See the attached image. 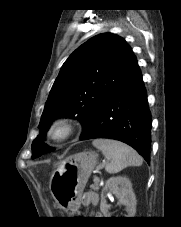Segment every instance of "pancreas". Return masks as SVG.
I'll list each match as a JSON object with an SVG mask.
<instances>
[{"label":"pancreas","instance_id":"obj_1","mask_svg":"<svg viewBox=\"0 0 181 227\" xmlns=\"http://www.w3.org/2000/svg\"><path fill=\"white\" fill-rule=\"evenodd\" d=\"M90 188L94 191H98L99 190V182H94V184H92L90 186Z\"/></svg>","mask_w":181,"mask_h":227}]
</instances>
